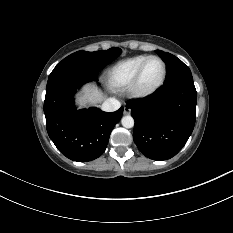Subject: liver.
Segmentation results:
<instances>
[{
	"label": "liver",
	"instance_id": "1",
	"mask_svg": "<svg viewBox=\"0 0 233 233\" xmlns=\"http://www.w3.org/2000/svg\"><path fill=\"white\" fill-rule=\"evenodd\" d=\"M104 96L101 91L94 85L87 84L81 88L77 95L76 102L80 108L96 106L103 101Z\"/></svg>",
	"mask_w": 233,
	"mask_h": 233
}]
</instances>
